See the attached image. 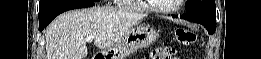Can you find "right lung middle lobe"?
I'll list each match as a JSON object with an SVG mask.
<instances>
[{
    "label": "right lung middle lobe",
    "instance_id": "right-lung-middle-lobe-1",
    "mask_svg": "<svg viewBox=\"0 0 261 59\" xmlns=\"http://www.w3.org/2000/svg\"><path fill=\"white\" fill-rule=\"evenodd\" d=\"M65 0H40L39 5V15L43 14L48 9L52 8L53 6L63 2ZM99 1V0H96Z\"/></svg>",
    "mask_w": 261,
    "mask_h": 59
}]
</instances>
